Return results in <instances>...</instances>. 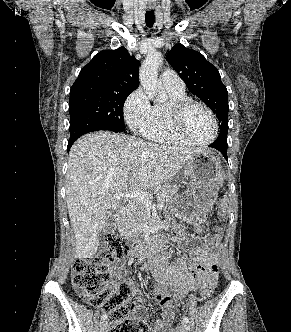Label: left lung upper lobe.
Wrapping results in <instances>:
<instances>
[{"instance_id":"left-lung-upper-lobe-1","label":"left lung upper lobe","mask_w":291,"mask_h":332,"mask_svg":"<svg viewBox=\"0 0 291 332\" xmlns=\"http://www.w3.org/2000/svg\"><path fill=\"white\" fill-rule=\"evenodd\" d=\"M166 60L184 80L188 89L200 98L217 116L219 136L227 138L228 92L217 68L195 50L176 44L168 52Z\"/></svg>"}]
</instances>
